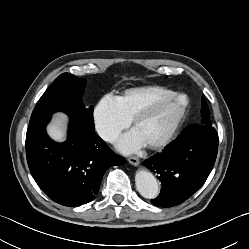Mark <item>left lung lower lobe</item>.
Returning <instances> with one entry per match:
<instances>
[{"label":"left lung lower lobe","instance_id":"0a47b994","mask_svg":"<svg viewBox=\"0 0 249 249\" xmlns=\"http://www.w3.org/2000/svg\"><path fill=\"white\" fill-rule=\"evenodd\" d=\"M218 134L212 124L185 129L162 153L143 164L159 174L162 191L151 202L159 207L181 204L192 196L209 176L218 151Z\"/></svg>","mask_w":249,"mask_h":249}]
</instances>
